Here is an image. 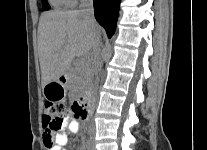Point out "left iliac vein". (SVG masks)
Masks as SVG:
<instances>
[{"label":"left iliac vein","mask_w":207,"mask_h":150,"mask_svg":"<svg viewBox=\"0 0 207 150\" xmlns=\"http://www.w3.org/2000/svg\"><path fill=\"white\" fill-rule=\"evenodd\" d=\"M90 150H95V149H94V144H93V143H90Z\"/></svg>","instance_id":"4c4485c4"}]
</instances>
